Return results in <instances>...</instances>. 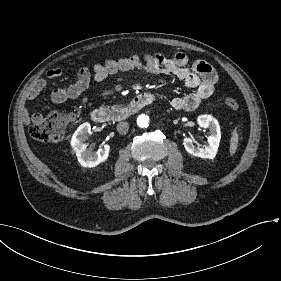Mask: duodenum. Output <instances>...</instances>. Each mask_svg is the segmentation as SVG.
<instances>
[{
  "label": "duodenum",
  "mask_w": 281,
  "mask_h": 281,
  "mask_svg": "<svg viewBox=\"0 0 281 281\" xmlns=\"http://www.w3.org/2000/svg\"><path fill=\"white\" fill-rule=\"evenodd\" d=\"M151 102V94L143 93L136 96L132 102L122 108H114V107H99L96 108L92 114L91 119L97 123L103 122H120L128 117H130L137 110L142 108L144 105Z\"/></svg>",
  "instance_id": "obj_1"
}]
</instances>
